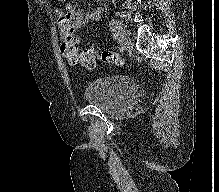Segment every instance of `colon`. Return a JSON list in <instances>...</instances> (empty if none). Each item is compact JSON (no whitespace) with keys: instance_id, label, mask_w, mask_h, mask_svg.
Segmentation results:
<instances>
[{"instance_id":"obj_1","label":"colon","mask_w":219,"mask_h":192,"mask_svg":"<svg viewBox=\"0 0 219 192\" xmlns=\"http://www.w3.org/2000/svg\"><path fill=\"white\" fill-rule=\"evenodd\" d=\"M60 49L62 55L74 65H82L88 68H93L96 64V59L119 67H122L125 64L124 59L119 54L110 50H102L96 46L80 50L77 37L73 34H68L64 37Z\"/></svg>"}]
</instances>
